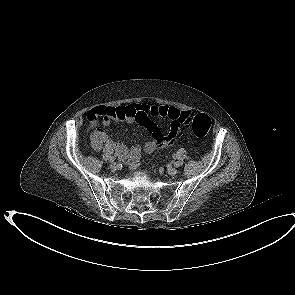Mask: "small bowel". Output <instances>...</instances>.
Masks as SVG:
<instances>
[{
  "label": "small bowel",
  "mask_w": 295,
  "mask_h": 295,
  "mask_svg": "<svg viewBox=\"0 0 295 295\" xmlns=\"http://www.w3.org/2000/svg\"><path fill=\"white\" fill-rule=\"evenodd\" d=\"M181 114L189 115L191 112L180 111L169 106L152 107L146 104L132 103L117 107L101 106L91 109L87 112V119L92 125H96L98 119L104 120L103 123L107 126L114 121L137 122L151 133L150 140L157 142V148H165L173 145L180 135L179 116ZM161 119L169 122V129L166 133L162 132L158 122ZM104 143L108 148L114 150L121 160L130 165H135L140 157L141 150L138 146L127 147L122 143L112 141L103 129L98 128L92 137V149L99 151Z\"/></svg>",
  "instance_id": "1"
}]
</instances>
